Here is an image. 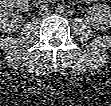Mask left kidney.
<instances>
[{
    "mask_svg": "<svg viewBox=\"0 0 111 106\" xmlns=\"http://www.w3.org/2000/svg\"><path fill=\"white\" fill-rule=\"evenodd\" d=\"M92 21L101 28L111 27V9L107 5L93 6L89 8Z\"/></svg>",
    "mask_w": 111,
    "mask_h": 106,
    "instance_id": "left-kidney-1",
    "label": "left kidney"
}]
</instances>
